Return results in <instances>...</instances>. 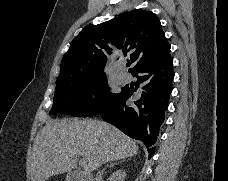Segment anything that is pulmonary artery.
Segmentation results:
<instances>
[{
  "mask_svg": "<svg viewBox=\"0 0 228 181\" xmlns=\"http://www.w3.org/2000/svg\"><path fill=\"white\" fill-rule=\"evenodd\" d=\"M123 81H126L128 78H126V77H122L121 78Z\"/></svg>",
  "mask_w": 228,
  "mask_h": 181,
  "instance_id": "pulmonary-artery-1",
  "label": "pulmonary artery"
}]
</instances>
